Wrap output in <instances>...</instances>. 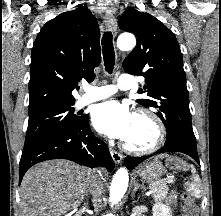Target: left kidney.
<instances>
[{
    "mask_svg": "<svg viewBox=\"0 0 221 216\" xmlns=\"http://www.w3.org/2000/svg\"><path fill=\"white\" fill-rule=\"evenodd\" d=\"M153 216H172L171 209L161 203H157L152 208Z\"/></svg>",
    "mask_w": 221,
    "mask_h": 216,
    "instance_id": "obj_1",
    "label": "left kidney"
}]
</instances>
